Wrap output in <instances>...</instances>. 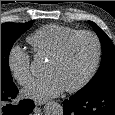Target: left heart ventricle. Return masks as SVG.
<instances>
[{
    "instance_id": "obj_1",
    "label": "left heart ventricle",
    "mask_w": 115,
    "mask_h": 115,
    "mask_svg": "<svg viewBox=\"0 0 115 115\" xmlns=\"http://www.w3.org/2000/svg\"><path fill=\"white\" fill-rule=\"evenodd\" d=\"M96 55L94 40L81 36L74 40L64 56L56 62L48 61L45 74L57 77L65 88L82 81L92 68Z\"/></svg>"
}]
</instances>
